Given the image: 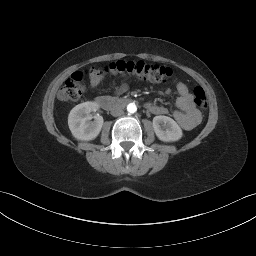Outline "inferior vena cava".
I'll list each match as a JSON object with an SVG mask.
<instances>
[{
    "instance_id": "obj_1",
    "label": "inferior vena cava",
    "mask_w": 256,
    "mask_h": 256,
    "mask_svg": "<svg viewBox=\"0 0 256 256\" xmlns=\"http://www.w3.org/2000/svg\"><path fill=\"white\" fill-rule=\"evenodd\" d=\"M123 113H124V111L121 107H114L111 110V115L114 117L121 116Z\"/></svg>"
}]
</instances>
